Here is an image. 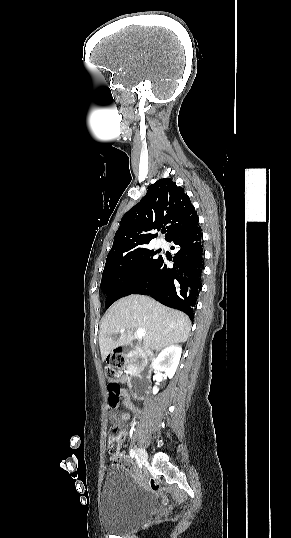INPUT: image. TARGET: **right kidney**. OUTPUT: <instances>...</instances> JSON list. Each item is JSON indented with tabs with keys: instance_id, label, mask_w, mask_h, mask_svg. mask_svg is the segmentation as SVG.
<instances>
[{
	"instance_id": "1",
	"label": "right kidney",
	"mask_w": 291,
	"mask_h": 538,
	"mask_svg": "<svg viewBox=\"0 0 291 538\" xmlns=\"http://www.w3.org/2000/svg\"><path fill=\"white\" fill-rule=\"evenodd\" d=\"M182 349L178 345H170L163 349L153 362V368L155 370V379H160L161 374L164 372L169 378H172L178 367ZM159 391L157 386L153 387V394H157Z\"/></svg>"
}]
</instances>
